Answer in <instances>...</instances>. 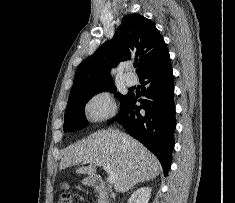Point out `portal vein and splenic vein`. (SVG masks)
Listing matches in <instances>:
<instances>
[{"instance_id": "1", "label": "portal vein and splenic vein", "mask_w": 235, "mask_h": 203, "mask_svg": "<svg viewBox=\"0 0 235 203\" xmlns=\"http://www.w3.org/2000/svg\"><path fill=\"white\" fill-rule=\"evenodd\" d=\"M104 170L108 173V178H107V182L109 183V184H114L115 182H116V180H117V174L116 173H114L112 170H111V168H110V166H104Z\"/></svg>"}]
</instances>
